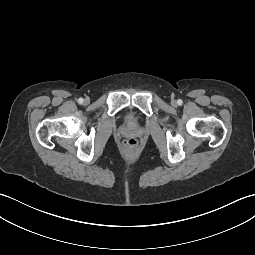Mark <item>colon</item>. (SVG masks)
I'll use <instances>...</instances> for the list:
<instances>
[{
  "label": "colon",
  "instance_id": "5ec220e1",
  "mask_svg": "<svg viewBox=\"0 0 255 255\" xmlns=\"http://www.w3.org/2000/svg\"><path fill=\"white\" fill-rule=\"evenodd\" d=\"M123 145L129 150H134L138 146V141L135 138H127L123 141Z\"/></svg>",
  "mask_w": 255,
  "mask_h": 255
}]
</instances>
